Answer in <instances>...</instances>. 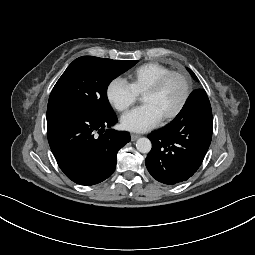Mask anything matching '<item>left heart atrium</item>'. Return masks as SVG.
<instances>
[{
	"label": "left heart atrium",
	"mask_w": 255,
	"mask_h": 255,
	"mask_svg": "<svg viewBox=\"0 0 255 255\" xmlns=\"http://www.w3.org/2000/svg\"><path fill=\"white\" fill-rule=\"evenodd\" d=\"M162 118V114L153 104L145 103L123 115L121 124L128 131L145 132L155 127Z\"/></svg>",
	"instance_id": "1"
}]
</instances>
